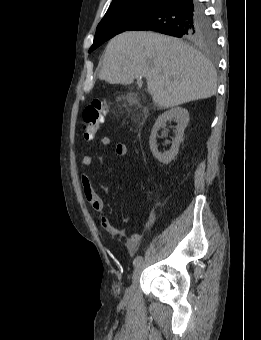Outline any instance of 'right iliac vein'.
Instances as JSON below:
<instances>
[{
  "label": "right iliac vein",
  "instance_id": "obj_1",
  "mask_svg": "<svg viewBox=\"0 0 261 340\" xmlns=\"http://www.w3.org/2000/svg\"><path fill=\"white\" fill-rule=\"evenodd\" d=\"M146 266H147V261H143L142 260V262L135 267V269L133 271V274H132V283L127 288V290L125 292V295H124V300L125 301H129L132 298L134 290H135L136 282H137L141 272L143 271V269Z\"/></svg>",
  "mask_w": 261,
  "mask_h": 340
}]
</instances>
